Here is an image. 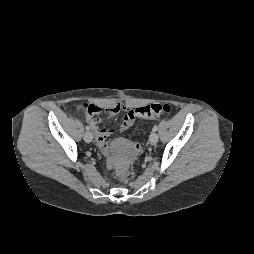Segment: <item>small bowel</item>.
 Listing matches in <instances>:
<instances>
[{
	"instance_id": "1",
	"label": "small bowel",
	"mask_w": 254,
	"mask_h": 254,
	"mask_svg": "<svg viewBox=\"0 0 254 254\" xmlns=\"http://www.w3.org/2000/svg\"><path fill=\"white\" fill-rule=\"evenodd\" d=\"M96 110L93 115H99L104 112V114L111 118L117 115L120 112H124V118L120 125V131L128 130L135 121V114L132 108L125 106L123 103H117L114 106L107 107L102 109L101 107L95 106ZM88 122L91 126V129L95 133L96 141L98 146L103 150L106 151L108 149V138L113 134L112 129L108 128H100L101 119L96 117H89ZM138 150L130 151V155L134 157L137 154Z\"/></svg>"
}]
</instances>
